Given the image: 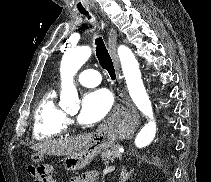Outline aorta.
Returning <instances> with one entry per match:
<instances>
[{"label": "aorta", "instance_id": "aorta-1", "mask_svg": "<svg viewBox=\"0 0 211 182\" xmlns=\"http://www.w3.org/2000/svg\"><path fill=\"white\" fill-rule=\"evenodd\" d=\"M117 52L129 94L137 108L149 118V122L141 128L135 138L136 147L144 148L153 141L156 135L152 104L141 79L138 61L131 49L125 45H120ZM91 54L92 49L89 46L78 47L64 54L60 67L61 105L75 106L78 104V92L74 85V76Z\"/></svg>", "mask_w": 211, "mask_h": 182}]
</instances>
